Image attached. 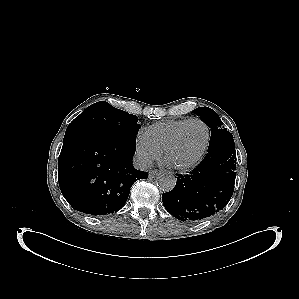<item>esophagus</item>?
<instances>
[{"label":"esophagus","instance_id":"34e87169","mask_svg":"<svg viewBox=\"0 0 299 299\" xmlns=\"http://www.w3.org/2000/svg\"><path fill=\"white\" fill-rule=\"evenodd\" d=\"M158 171L157 170H152L149 172V178L152 179L154 178L156 175H158Z\"/></svg>","mask_w":299,"mask_h":299}]
</instances>
